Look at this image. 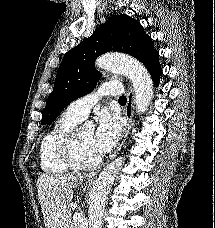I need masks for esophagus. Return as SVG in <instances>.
I'll list each match as a JSON object with an SVG mask.
<instances>
[{
  "mask_svg": "<svg viewBox=\"0 0 215 228\" xmlns=\"http://www.w3.org/2000/svg\"><path fill=\"white\" fill-rule=\"evenodd\" d=\"M134 111H135V95H134V91H133L132 87H129L128 93H127V104H126V109H125V117L127 119V126H126L125 130L123 131L122 137L117 145L116 150L111 155L110 160H112L113 158H115L118 155L119 151L121 150L122 146L124 145L126 137L132 127ZM98 173H99L98 171L92 172V173H90V176L97 177Z\"/></svg>",
  "mask_w": 215,
  "mask_h": 228,
  "instance_id": "obj_1",
  "label": "esophagus"
}]
</instances>
